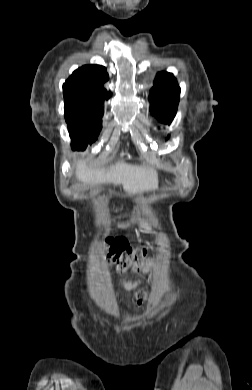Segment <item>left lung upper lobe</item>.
<instances>
[{"instance_id": "obj_1", "label": "left lung upper lobe", "mask_w": 252, "mask_h": 390, "mask_svg": "<svg viewBox=\"0 0 252 390\" xmlns=\"http://www.w3.org/2000/svg\"><path fill=\"white\" fill-rule=\"evenodd\" d=\"M180 98V87L173 74L160 72L150 91V112L163 123L174 119Z\"/></svg>"}]
</instances>
